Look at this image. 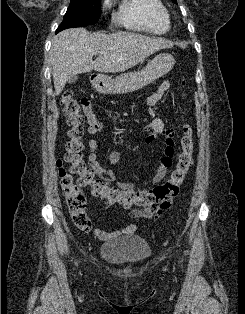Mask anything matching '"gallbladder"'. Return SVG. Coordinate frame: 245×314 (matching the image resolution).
Returning a JSON list of instances; mask_svg holds the SVG:
<instances>
[{
	"label": "gallbladder",
	"mask_w": 245,
	"mask_h": 314,
	"mask_svg": "<svg viewBox=\"0 0 245 314\" xmlns=\"http://www.w3.org/2000/svg\"><path fill=\"white\" fill-rule=\"evenodd\" d=\"M78 79V76L77 75H73L71 76L69 79H68V83H75Z\"/></svg>",
	"instance_id": "1"
}]
</instances>
